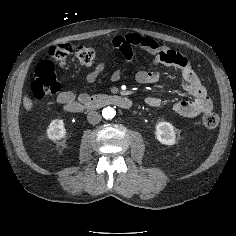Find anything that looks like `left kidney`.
I'll list each match as a JSON object with an SVG mask.
<instances>
[{
    "label": "left kidney",
    "mask_w": 236,
    "mask_h": 236,
    "mask_svg": "<svg viewBox=\"0 0 236 236\" xmlns=\"http://www.w3.org/2000/svg\"><path fill=\"white\" fill-rule=\"evenodd\" d=\"M156 139L164 145H174L176 142V131L169 122H159L156 125Z\"/></svg>",
    "instance_id": "5707ae66"
}]
</instances>
